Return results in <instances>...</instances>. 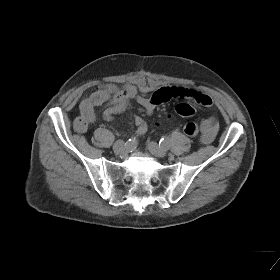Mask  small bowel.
Wrapping results in <instances>:
<instances>
[{"label":"small bowel","instance_id":"small-bowel-1","mask_svg":"<svg viewBox=\"0 0 280 280\" xmlns=\"http://www.w3.org/2000/svg\"><path fill=\"white\" fill-rule=\"evenodd\" d=\"M171 99H187L206 107H210L213 104L210 96L191 88L161 87L149 97H145L138 93L134 85L117 86L107 83L98 86L92 93L82 99L80 117L85 121L86 127L77 131L85 132L88 126L95 121L96 107L103 106L102 114L105 119L110 120L114 114L125 111L131 100H136L145 112L150 115L158 105ZM133 120L137 127V135H144L148 129L146 121L140 116H135ZM218 129L219 124L214 117L200 120L198 130L200 141L205 144L212 142Z\"/></svg>","mask_w":280,"mask_h":280}]
</instances>
